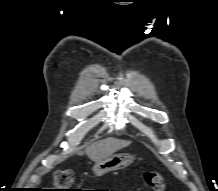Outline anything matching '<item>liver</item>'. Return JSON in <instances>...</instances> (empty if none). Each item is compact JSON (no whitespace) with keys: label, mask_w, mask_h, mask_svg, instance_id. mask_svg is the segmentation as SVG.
I'll return each mask as SVG.
<instances>
[{"label":"liver","mask_w":218,"mask_h":191,"mask_svg":"<svg viewBox=\"0 0 218 191\" xmlns=\"http://www.w3.org/2000/svg\"><path fill=\"white\" fill-rule=\"evenodd\" d=\"M130 144V141L110 137L91 144L86 148L85 153L92 161L98 162Z\"/></svg>","instance_id":"1"}]
</instances>
